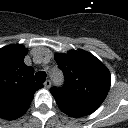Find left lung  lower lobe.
<instances>
[{
  "label": "left lung lower lobe",
  "mask_w": 128,
  "mask_h": 128,
  "mask_svg": "<svg viewBox=\"0 0 128 128\" xmlns=\"http://www.w3.org/2000/svg\"><path fill=\"white\" fill-rule=\"evenodd\" d=\"M57 104L64 113L72 117H82L94 112V110L91 109L75 107L65 103H57Z\"/></svg>",
  "instance_id": "left-lung-lower-lobe-1"
}]
</instances>
